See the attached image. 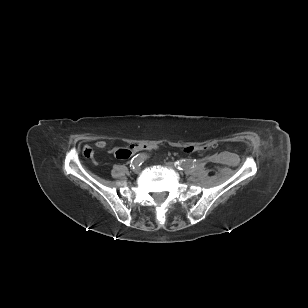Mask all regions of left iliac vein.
I'll use <instances>...</instances> for the list:
<instances>
[{
	"mask_svg": "<svg viewBox=\"0 0 308 308\" xmlns=\"http://www.w3.org/2000/svg\"><path fill=\"white\" fill-rule=\"evenodd\" d=\"M165 165L168 168H171V169H176L177 168V166L174 163H172V162H167V163H165Z\"/></svg>",
	"mask_w": 308,
	"mask_h": 308,
	"instance_id": "1",
	"label": "left iliac vein"
}]
</instances>
